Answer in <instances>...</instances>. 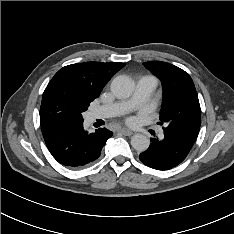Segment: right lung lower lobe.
Listing matches in <instances>:
<instances>
[{"label": "right lung lower lobe", "instance_id": "right-lung-lower-lobe-1", "mask_svg": "<svg viewBox=\"0 0 234 234\" xmlns=\"http://www.w3.org/2000/svg\"><path fill=\"white\" fill-rule=\"evenodd\" d=\"M41 127L52 156L70 168H81L96 160L107 139L113 134L106 128L89 133L83 128V120H59Z\"/></svg>", "mask_w": 234, "mask_h": 234}]
</instances>
